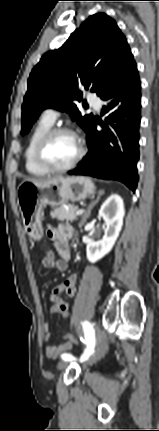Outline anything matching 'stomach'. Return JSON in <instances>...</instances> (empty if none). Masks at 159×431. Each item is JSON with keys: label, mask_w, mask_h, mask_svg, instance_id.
<instances>
[{"label": "stomach", "mask_w": 159, "mask_h": 431, "mask_svg": "<svg viewBox=\"0 0 159 431\" xmlns=\"http://www.w3.org/2000/svg\"><path fill=\"white\" fill-rule=\"evenodd\" d=\"M95 193L91 179L83 176L57 177L45 183L23 181L17 188V200L26 233L34 240L43 237V207L76 202Z\"/></svg>", "instance_id": "stomach-1"}]
</instances>
